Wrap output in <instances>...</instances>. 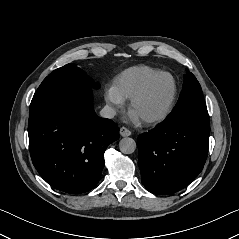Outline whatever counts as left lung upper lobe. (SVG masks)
<instances>
[{"label": "left lung upper lobe", "instance_id": "1", "mask_svg": "<svg viewBox=\"0 0 239 239\" xmlns=\"http://www.w3.org/2000/svg\"><path fill=\"white\" fill-rule=\"evenodd\" d=\"M192 107L206 108V104L199 82L196 77L187 70V73L184 75V83L179 100L168 118Z\"/></svg>", "mask_w": 239, "mask_h": 239}]
</instances>
